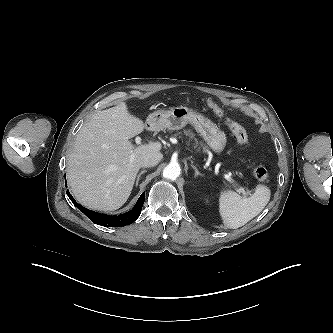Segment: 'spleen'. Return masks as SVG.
<instances>
[{"instance_id": "3e777b00", "label": "spleen", "mask_w": 333, "mask_h": 333, "mask_svg": "<svg viewBox=\"0 0 333 333\" xmlns=\"http://www.w3.org/2000/svg\"><path fill=\"white\" fill-rule=\"evenodd\" d=\"M270 189L258 185L251 197L244 198L234 191H223L219 197V212L223 224L236 229L256 217L270 200Z\"/></svg>"}]
</instances>
